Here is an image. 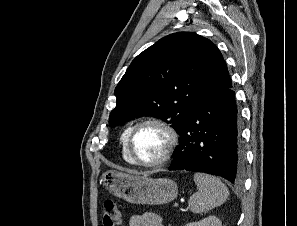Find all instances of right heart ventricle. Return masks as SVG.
Wrapping results in <instances>:
<instances>
[{"label":"right heart ventricle","mask_w":297,"mask_h":226,"mask_svg":"<svg viewBox=\"0 0 297 226\" xmlns=\"http://www.w3.org/2000/svg\"><path fill=\"white\" fill-rule=\"evenodd\" d=\"M130 126L125 128L122 135H121V144H122V157L128 163H133L131 158L128 155L127 148H126V139L130 130Z\"/></svg>","instance_id":"e07e8e85"}]
</instances>
